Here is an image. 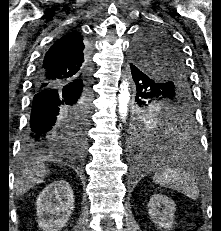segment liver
Listing matches in <instances>:
<instances>
[{"label": "liver", "instance_id": "1", "mask_svg": "<svg viewBox=\"0 0 221 231\" xmlns=\"http://www.w3.org/2000/svg\"><path fill=\"white\" fill-rule=\"evenodd\" d=\"M47 158H40V160L45 161ZM48 170L43 165L33 166L25 170L22 176L17 180L15 184V192L17 196H21L28 190L33 188L36 184L43 181Z\"/></svg>", "mask_w": 221, "mask_h": 231}]
</instances>
